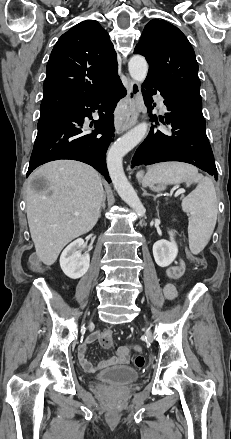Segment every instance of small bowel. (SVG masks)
Returning a JSON list of instances; mask_svg holds the SVG:
<instances>
[{"mask_svg":"<svg viewBox=\"0 0 231 439\" xmlns=\"http://www.w3.org/2000/svg\"><path fill=\"white\" fill-rule=\"evenodd\" d=\"M184 272V263L183 261H178L177 264L170 266L166 269V276L169 279H177L179 278ZM164 294L167 299L173 300L176 295V289L171 283H167L164 286ZM110 330H105L104 332H107ZM104 332H94L91 335H89L86 339V341L79 347L78 350V360L80 365L88 372H95L99 369L106 368L113 365H120L125 364L129 360V348L127 346H121L119 347L114 355L111 357L104 359L100 361L97 365H93L87 358H86V350H87V344L94 342L96 339L101 337Z\"/></svg>","mask_w":231,"mask_h":439,"instance_id":"obj_1","label":"small bowel"}]
</instances>
